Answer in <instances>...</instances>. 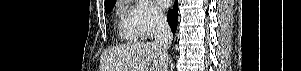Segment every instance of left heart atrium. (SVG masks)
<instances>
[{
  "label": "left heart atrium",
  "mask_w": 301,
  "mask_h": 71,
  "mask_svg": "<svg viewBox=\"0 0 301 71\" xmlns=\"http://www.w3.org/2000/svg\"><path fill=\"white\" fill-rule=\"evenodd\" d=\"M155 2L157 4V6L160 8H165V7L169 6V4H170L169 0H156Z\"/></svg>",
  "instance_id": "39dd6f15"
}]
</instances>
